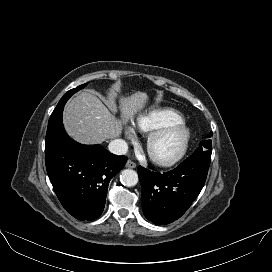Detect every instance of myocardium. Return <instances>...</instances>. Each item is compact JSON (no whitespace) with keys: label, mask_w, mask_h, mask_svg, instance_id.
<instances>
[{"label":"myocardium","mask_w":272,"mask_h":272,"mask_svg":"<svg viewBox=\"0 0 272 272\" xmlns=\"http://www.w3.org/2000/svg\"><path fill=\"white\" fill-rule=\"evenodd\" d=\"M179 135L180 142L175 152L170 155H160L156 151L157 145L169 135ZM191 140L189 127L182 121L170 124L154 131L147 141V152L154 163L163 167L177 164L186 154Z\"/></svg>","instance_id":"obj_1"}]
</instances>
